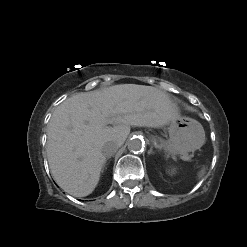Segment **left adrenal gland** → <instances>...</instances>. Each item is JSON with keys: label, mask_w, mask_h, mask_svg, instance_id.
Here are the masks:
<instances>
[{"label": "left adrenal gland", "mask_w": 247, "mask_h": 247, "mask_svg": "<svg viewBox=\"0 0 247 247\" xmlns=\"http://www.w3.org/2000/svg\"><path fill=\"white\" fill-rule=\"evenodd\" d=\"M149 153H153L152 148L150 149Z\"/></svg>", "instance_id": "1"}]
</instances>
